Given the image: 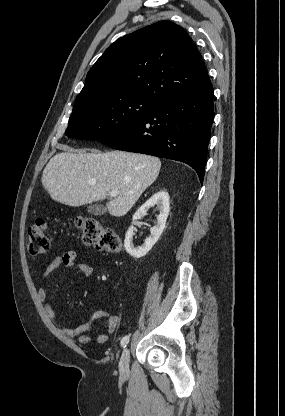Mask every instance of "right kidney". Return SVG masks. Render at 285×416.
<instances>
[{"label":"right kidney","mask_w":285,"mask_h":416,"mask_svg":"<svg viewBox=\"0 0 285 416\" xmlns=\"http://www.w3.org/2000/svg\"><path fill=\"white\" fill-rule=\"evenodd\" d=\"M157 204V208L160 212L159 216H157V224L156 226H153L151 228L150 236L149 238H146L145 244L143 246H139V248H133L132 246V240H133V228L134 226H130L128 228V232H126L125 240H124V246L126 252L130 254V256H133V258H143V256H146L148 254L149 250L153 248L154 244H156L157 240H159L166 224V220L168 218L169 214V194L168 192H164V190H161V192H157V194H154L150 200H147L137 212H135L133 216V220H140V218H143L145 216L148 208H151V206H155Z\"/></svg>","instance_id":"right-kidney-1"}]
</instances>
